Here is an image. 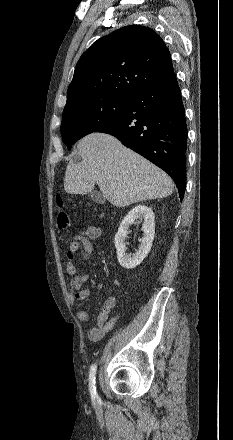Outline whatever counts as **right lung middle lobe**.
Listing matches in <instances>:
<instances>
[{"label": "right lung middle lobe", "mask_w": 233, "mask_h": 440, "mask_svg": "<svg viewBox=\"0 0 233 440\" xmlns=\"http://www.w3.org/2000/svg\"><path fill=\"white\" fill-rule=\"evenodd\" d=\"M129 99L90 98L65 106L61 123L62 141L68 150L87 134L118 118Z\"/></svg>", "instance_id": "right-lung-middle-lobe-1"}]
</instances>
